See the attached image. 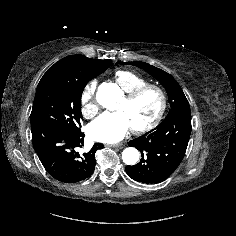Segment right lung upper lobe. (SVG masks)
<instances>
[{"label":"right lung upper lobe","instance_id":"cb5924a9","mask_svg":"<svg viewBox=\"0 0 236 236\" xmlns=\"http://www.w3.org/2000/svg\"><path fill=\"white\" fill-rule=\"evenodd\" d=\"M111 62L110 60H95L83 55L67 56L52 67H50L44 76L58 75L62 77H74L88 74L100 66Z\"/></svg>","mask_w":236,"mask_h":236}]
</instances>
